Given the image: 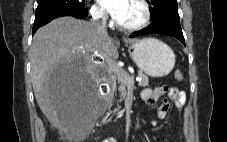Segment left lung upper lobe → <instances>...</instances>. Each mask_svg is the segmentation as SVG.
Instances as JSON below:
<instances>
[{
    "label": "left lung upper lobe",
    "mask_w": 227,
    "mask_h": 142,
    "mask_svg": "<svg viewBox=\"0 0 227 142\" xmlns=\"http://www.w3.org/2000/svg\"><path fill=\"white\" fill-rule=\"evenodd\" d=\"M151 3L153 8L150 9V14L153 23L169 22L180 25L177 0H151Z\"/></svg>",
    "instance_id": "1"
}]
</instances>
